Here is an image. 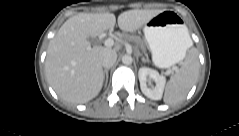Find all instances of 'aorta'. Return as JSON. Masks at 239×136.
<instances>
[{"label":"aorta","instance_id":"obj_1","mask_svg":"<svg viewBox=\"0 0 239 136\" xmlns=\"http://www.w3.org/2000/svg\"><path fill=\"white\" fill-rule=\"evenodd\" d=\"M132 61H133V59H132V57L130 55H124L122 57V63L125 64V65L132 64Z\"/></svg>","mask_w":239,"mask_h":136}]
</instances>
